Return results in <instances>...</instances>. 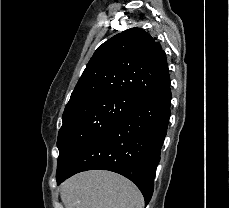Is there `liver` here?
<instances>
[{
  "label": "liver",
  "mask_w": 229,
  "mask_h": 208,
  "mask_svg": "<svg viewBox=\"0 0 229 208\" xmlns=\"http://www.w3.org/2000/svg\"><path fill=\"white\" fill-rule=\"evenodd\" d=\"M65 208H144L135 184L113 172H82L60 186Z\"/></svg>",
  "instance_id": "obj_1"
}]
</instances>
